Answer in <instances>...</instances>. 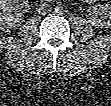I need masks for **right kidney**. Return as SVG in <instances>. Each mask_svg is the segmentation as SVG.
Masks as SVG:
<instances>
[{
  "instance_id": "right-kidney-1",
  "label": "right kidney",
  "mask_w": 111,
  "mask_h": 106,
  "mask_svg": "<svg viewBox=\"0 0 111 106\" xmlns=\"http://www.w3.org/2000/svg\"><path fill=\"white\" fill-rule=\"evenodd\" d=\"M0 9L1 29L10 31L20 26L22 22L21 12H28L30 8L26 0H2L0 2Z\"/></svg>"
}]
</instances>
